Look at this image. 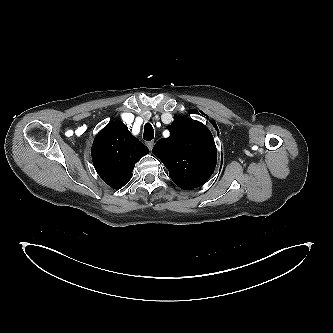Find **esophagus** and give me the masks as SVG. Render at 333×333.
<instances>
[{"label":"esophagus","mask_w":333,"mask_h":333,"mask_svg":"<svg viewBox=\"0 0 333 333\" xmlns=\"http://www.w3.org/2000/svg\"><path fill=\"white\" fill-rule=\"evenodd\" d=\"M154 146V141H150L147 143V147L149 148V150H152Z\"/></svg>","instance_id":"34e87169"}]
</instances>
